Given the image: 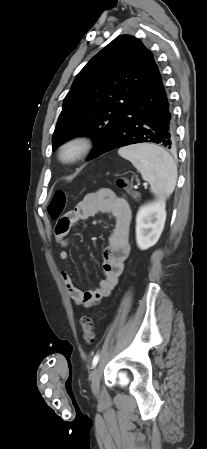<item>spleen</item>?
Returning <instances> with one entry per match:
<instances>
[{"mask_svg":"<svg viewBox=\"0 0 207 449\" xmlns=\"http://www.w3.org/2000/svg\"><path fill=\"white\" fill-rule=\"evenodd\" d=\"M129 160L151 185V192L160 198H168L177 182V166L163 148L150 143L135 144L118 150Z\"/></svg>","mask_w":207,"mask_h":449,"instance_id":"obj_1","label":"spleen"}]
</instances>
